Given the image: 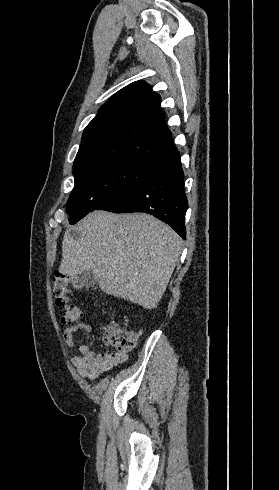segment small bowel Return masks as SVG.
<instances>
[{
    "mask_svg": "<svg viewBox=\"0 0 279 490\" xmlns=\"http://www.w3.org/2000/svg\"><path fill=\"white\" fill-rule=\"evenodd\" d=\"M92 327L86 322H81L65 329L63 339L70 347L76 345V335L79 332L90 333ZM128 355L125 352L114 351L97 354L86 344L78 346V353L71 357L73 366L83 378L95 381L97 377L116 365L125 362Z\"/></svg>",
    "mask_w": 279,
    "mask_h": 490,
    "instance_id": "1",
    "label": "small bowel"
}]
</instances>
